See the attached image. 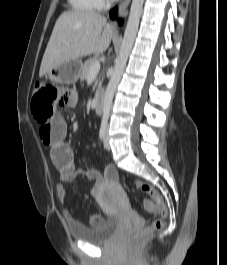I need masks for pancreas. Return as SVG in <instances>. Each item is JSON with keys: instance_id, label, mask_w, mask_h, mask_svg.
I'll list each match as a JSON object with an SVG mask.
<instances>
[{"instance_id": "pancreas-1", "label": "pancreas", "mask_w": 227, "mask_h": 265, "mask_svg": "<svg viewBox=\"0 0 227 265\" xmlns=\"http://www.w3.org/2000/svg\"><path fill=\"white\" fill-rule=\"evenodd\" d=\"M96 63H99V59L97 57H93L85 61V63L81 67V73H80L81 80H85L88 78L91 66ZM101 85L102 81L99 83L98 89L101 88Z\"/></svg>"}]
</instances>
